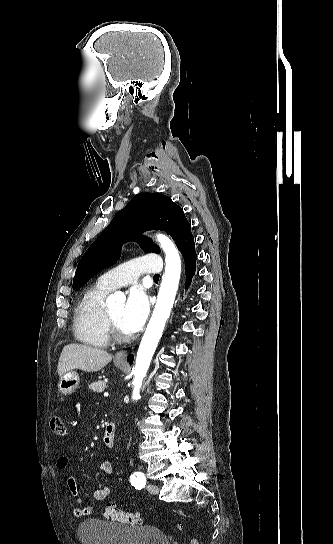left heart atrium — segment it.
<instances>
[{"mask_svg": "<svg viewBox=\"0 0 333 544\" xmlns=\"http://www.w3.org/2000/svg\"><path fill=\"white\" fill-rule=\"evenodd\" d=\"M149 309V300L144 290L141 288L131 290L120 319L124 331L127 333L138 332L148 317Z\"/></svg>", "mask_w": 333, "mask_h": 544, "instance_id": "39dd6f15", "label": "left heart atrium"}]
</instances>
